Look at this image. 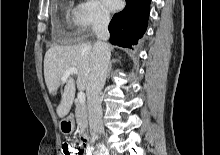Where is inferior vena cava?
Segmentation results:
<instances>
[{
	"mask_svg": "<svg viewBox=\"0 0 220 155\" xmlns=\"http://www.w3.org/2000/svg\"><path fill=\"white\" fill-rule=\"evenodd\" d=\"M109 22V15L106 13H100L94 28L97 41L93 48L90 79L86 89L89 126L93 140L104 133L102 107L99 96L106 81L110 60V49L107 44V40L109 39Z\"/></svg>",
	"mask_w": 220,
	"mask_h": 155,
	"instance_id": "inferior-vena-cava-1",
	"label": "inferior vena cava"
}]
</instances>
